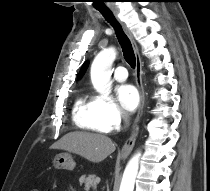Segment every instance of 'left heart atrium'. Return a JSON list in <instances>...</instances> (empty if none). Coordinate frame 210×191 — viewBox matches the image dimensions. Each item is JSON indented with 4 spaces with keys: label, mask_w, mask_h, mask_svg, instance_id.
I'll use <instances>...</instances> for the list:
<instances>
[{
    "label": "left heart atrium",
    "mask_w": 210,
    "mask_h": 191,
    "mask_svg": "<svg viewBox=\"0 0 210 191\" xmlns=\"http://www.w3.org/2000/svg\"><path fill=\"white\" fill-rule=\"evenodd\" d=\"M121 106L128 112H133L139 105L140 97L137 89L130 84H124L117 89Z\"/></svg>",
    "instance_id": "1"
}]
</instances>
